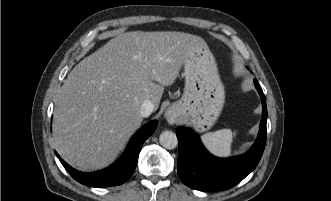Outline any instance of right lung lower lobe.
I'll return each instance as SVG.
<instances>
[{"instance_id": "1", "label": "right lung lower lobe", "mask_w": 331, "mask_h": 201, "mask_svg": "<svg viewBox=\"0 0 331 201\" xmlns=\"http://www.w3.org/2000/svg\"><path fill=\"white\" fill-rule=\"evenodd\" d=\"M157 121L143 126L131 139L122 157L107 170L97 173H82L64 162L56 153L68 173L78 182L91 187H107L123 184L134 172L139 152L144 141L155 131Z\"/></svg>"}]
</instances>
